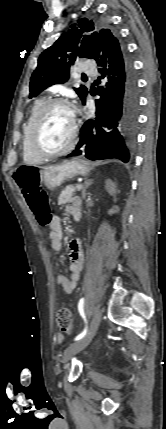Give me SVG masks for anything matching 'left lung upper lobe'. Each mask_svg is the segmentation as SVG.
<instances>
[{"instance_id":"left-lung-upper-lobe-1","label":"left lung upper lobe","mask_w":166,"mask_h":429,"mask_svg":"<svg viewBox=\"0 0 166 429\" xmlns=\"http://www.w3.org/2000/svg\"><path fill=\"white\" fill-rule=\"evenodd\" d=\"M118 37L110 29H100L92 21L79 20L64 33L51 47L41 53L38 66L30 81L29 97H36L41 91L54 84H62L69 78L70 64L77 58H96L99 42L109 45ZM82 102L88 94L85 86L74 88Z\"/></svg>"}]
</instances>
